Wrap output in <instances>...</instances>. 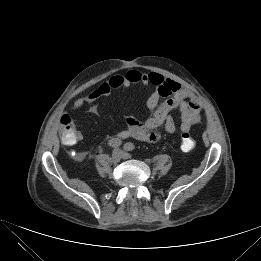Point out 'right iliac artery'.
Instances as JSON below:
<instances>
[{
  "label": "right iliac artery",
  "instance_id": "82829eb1",
  "mask_svg": "<svg viewBox=\"0 0 261 261\" xmlns=\"http://www.w3.org/2000/svg\"><path fill=\"white\" fill-rule=\"evenodd\" d=\"M122 144V141L118 138H113L108 141V146L111 148H117Z\"/></svg>",
  "mask_w": 261,
  "mask_h": 261
}]
</instances>
